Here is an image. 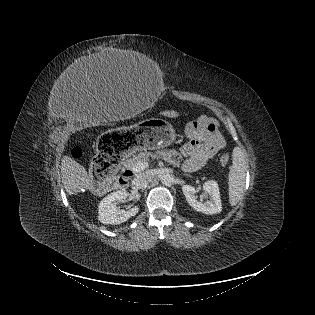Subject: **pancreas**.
Segmentation results:
<instances>
[{
  "label": "pancreas",
  "instance_id": "1",
  "mask_svg": "<svg viewBox=\"0 0 315 315\" xmlns=\"http://www.w3.org/2000/svg\"><path fill=\"white\" fill-rule=\"evenodd\" d=\"M178 153L171 150H157L156 152H140L134 155L132 158L128 159L124 166L127 169L133 170L135 165L139 162H147L149 159H163L166 162H169L173 166H180L181 156H178Z\"/></svg>",
  "mask_w": 315,
  "mask_h": 315
}]
</instances>
